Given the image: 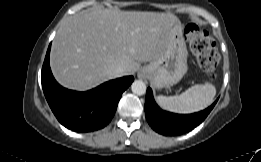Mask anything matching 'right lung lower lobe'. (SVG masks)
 <instances>
[{
  "instance_id": "1",
  "label": "right lung lower lobe",
  "mask_w": 261,
  "mask_h": 162,
  "mask_svg": "<svg viewBox=\"0 0 261 162\" xmlns=\"http://www.w3.org/2000/svg\"><path fill=\"white\" fill-rule=\"evenodd\" d=\"M42 67V88L46 100L58 119L66 128L76 132H92L104 128L113 118L122 93L134 81L126 76L108 81L92 90L77 92L60 86L54 79L49 54Z\"/></svg>"
}]
</instances>
